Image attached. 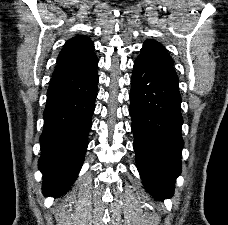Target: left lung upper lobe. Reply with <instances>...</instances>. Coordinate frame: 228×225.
Returning a JSON list of instances; mask_svg holds the SVG:
<instances>
[{
	"instance_id": "5c2ea615",
	"label": "left lung upper lobe",
	"mask_w": 228,
	"mask_h": 225,
	"mask_svg": "<svg viewBox=\"0 0 228 225\" xmlns=\"http://www.w3.org/2000/svg\"><path fill=\"white\" fill-rule=\"evenodd\" d=\"M139 56L160 65H173V59L167 53L166 49L155 40L149 39L145 41Z\"/></svg>"
}]
</instances>
